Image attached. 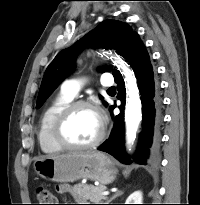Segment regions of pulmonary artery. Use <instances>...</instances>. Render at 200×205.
Listing matches in <instances>:
<instances>
[{
	"label": "pulmonary artery",
	"instance_id": "1",
	"mask_svg": "<svg viewBox=\"0 0 200 205\" xmlns=\"http://www.w3.org/2000/svg\"><path fill=\"white\" fill-rule=\"evenodd\" d=\"M101 84L103 86H112L113 79L108 74H105L101 79ZM83 86V81L81 79H69L66 80L61 87V90L66 95L74 98L78 95L79 91Z\"/></svg>",
	"mask_w": 200,
	"mask_h": 205
}]
</instances>
